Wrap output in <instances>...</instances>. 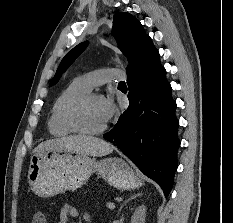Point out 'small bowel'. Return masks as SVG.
Returning a JSON list of instances; mask_svg holds the SVG:
<instances>
[{"instance_id":"c3829d8e","label":"small bowel","mask_w":233,"mask_h":223,"mask_svg":"<svg viewBox=\"0 0 233 223\" xmlns=\"http://www.w3.org/2000/svg\"><path fill=\"white\" fill-rule=\"evenodd\" d=\"M70 218L76 220L83 219L86 223H92V219L88 214L80 212L73 205L65 204L60 211L59 223H68Z\"/></svg>"}]
</instances>
